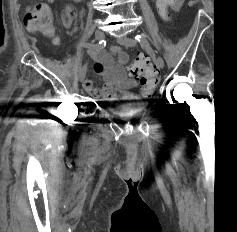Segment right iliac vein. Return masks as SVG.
<instances>
[{"label": "right iliac vein", "instance_id": "obj_1", "mask_svg": "<svg viewBox=\"0 0 237 232\" xmlns=\"http://www.w3.org/2000/svg\"><path fill=\"white\" fill-rule=\"evenodd\" d=\"M104 38V33L102 30L97 29L95 31V39L96 40H102ZM86 66H83L80 70H79V74H78V78L79 81L82 82L86 76Z\"/></svg>", "mask_w": 237, "mask_h": 232}]
</instances>
